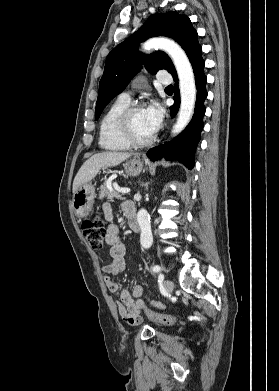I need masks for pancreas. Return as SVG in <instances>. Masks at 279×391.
<instances>
[{"mask_svg": "<svg viewBox=\"0 0 279 391\" xmlns=\"http://www.w3.org/2000/svg\"><path fill=\"white\" fill-rule=\"evenodd\" d=\"M99 197H100V199L106 198L108 200H112L113 198H116V199L122 198L119 193H117L114 190H110L108 188V182L107 181L103 185H101Z\"/></svg>", "mask_w": 279, "mask_h": 391, "instance_id": "1", "label": "pancreas"}]
</instances>
